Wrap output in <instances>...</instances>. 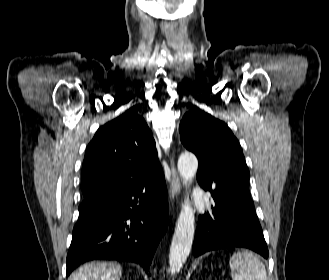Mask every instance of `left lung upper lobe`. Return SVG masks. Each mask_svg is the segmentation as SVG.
<instances>
[{
  "label": "left lung upper lobe",
  "mask_w": 329,
  "mask_h": 280,
  "mask_svg": "<svg viewBox=\"0 0 329 280\" xmlns=\"http://www.w3.org/2000/svg\"><path fill=\"white\" fill-rule=\"evenodd\" d=\"M183 145L197 156V181L212 196L248 187L249 170L239 141L224 122L200 109L187 112L179 127Z\"/></svg>",
  "instance_id": "obj_1"
}]
</instances>
